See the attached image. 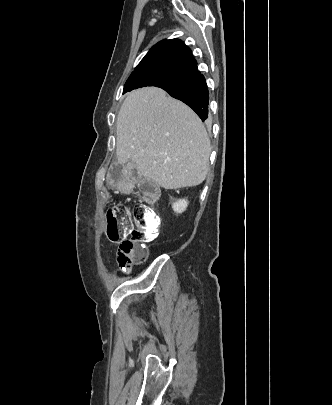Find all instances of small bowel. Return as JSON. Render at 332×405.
<instances>
[{"label": "small bowel", "instance_id": "c3829d8e", "mask_svg": "<svg viewBox=\"0 0 332 405\" xmlns=\"http://www.w3.org/2000/svg\"><path fill=\"white\" fill-rule=\"evenodd\" d=\"M109 186H142V173L129 172L125 162H112L111 171L104 172Z\"/></svg>", "mask_w": 332, "mask_h": 405}]
</instances>
